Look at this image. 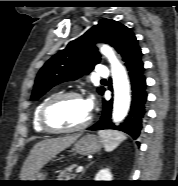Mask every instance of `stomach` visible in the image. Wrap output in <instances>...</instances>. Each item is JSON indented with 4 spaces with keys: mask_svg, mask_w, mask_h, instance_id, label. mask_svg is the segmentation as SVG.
<instances>
[{
    "mask_svg": "<svg viewBox=\"0 0 178 186\" xmlns=\"http://www.w3.org/2000/svg\"><path fill=\"white\" fill-rule=\"evenodd\" d=\"M103 142L102 139L93 134H86L80 137L73 146V152L80 155H90L98 152L102 148ZM26 185L30 186H42L46 185V174L43 172H36L33 174L30 179L26 180Z\"/></svg>",
    "mask_w": 178,
    "mask_h": 186,
    "instance_id": "obj_1",
    "label": "stomach"
}]
</instances>
